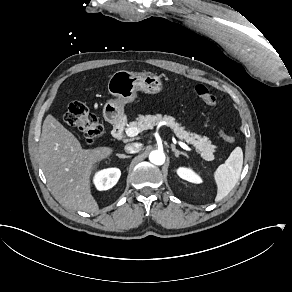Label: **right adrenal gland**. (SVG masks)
Here are the masks:
<instances>
[{
    "mask_svg": "<svg viewBox=\"0 0 292 292\" xmlns=\"http://www.w3.org/2000/svg\"><path fill=\"white\" fill-rule=\"evenodd\" d=\"M117 156L119 157V158H130L131 156L130 155H125V154H117Z\"/></svg>",
    "mask_w": 292,
    "mask_h": 292,
    "instance_id": "2a0ac1e0",
    "label": "right adrenal gland"
}]
</instances>
